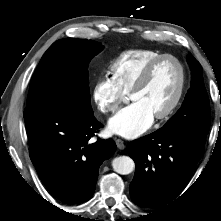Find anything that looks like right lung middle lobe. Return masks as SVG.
Here are the masks:
<instances>
[{
  "instance_id": "dd1d6c3e",
  "label": "right lung middle lobe",
  "mask_w": 221,
  "mask_h": 221,
  "mask_svg": "<svg viewBox=\"0 0 221 221\" xmlns=\"http://www.w3.org/2000/svg\"><path fill=\"white\" fill-rule=\"evenodd\" d=\"M101 50L100 43L83 39L66 38L53 43L34 72L27 108L53 104L93 113L88 64Z\"/></svg>"
}]
</instances>
